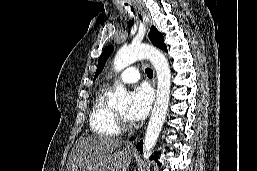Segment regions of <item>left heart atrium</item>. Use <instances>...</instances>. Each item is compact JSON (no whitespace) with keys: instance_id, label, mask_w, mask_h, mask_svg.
I'll list each match as a JSON object with an SVG mask.
<instances>
[{"instance_id":"39dd6f15","label":"left heart atrium","mask_w":257,"mask_h":171,"mask_svg":"<svg viewBox=\"0 0 257 171\" xmlns=\"http://www.w3.org/2000/svg\"><path fill=\"white\" fill-rule=\"evenodd\" d=\"M152 93L146 86L136 87L131 94V104L128 108V118L140 121L148 114L152 104Z\"/></svg>"}]
</instances>
